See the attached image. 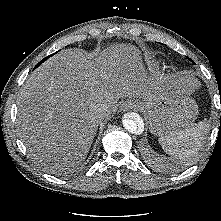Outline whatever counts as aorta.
Instances as JSON below:
<instances>
[{
    "mask_svg": "<svg viewBox=\"0 0 221 221\" xmlns=\"http://www.w3.org/2000/svg\"><path fill=\"white\" fill-rule=\"evenodd\" d=\"M124 128L132 134L143 131L144 123L138 114L126 115L122 121Z\"/></svg>",
    "mask_w": 221,
    "mask_h": 221,
    "instance_id": "762f6f07",
    "label": "aorta"
}]
</instances>
